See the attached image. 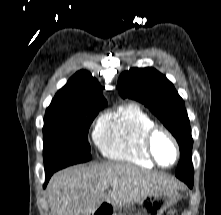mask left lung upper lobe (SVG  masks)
I'll use <instances>...</instances> for the list:
<instances>
[{"instance_id": "1", "label": "left lung upper lobe", "mask_w": 221, "mask_h": 215, "mask_svg": "<svg viewBox=\"0 0 221 215\" xmlns=\"http://www.w3.org/2000/svg\"><path fill=\"white\" fill-rule=\"evenodd\" d=\"M117 89L123 98H131L147 106L173 134L181 153L175 175L181 180L193 181L190 121L184 101L173 84L154 68H132L120 75Z\"/></svg>"}]
</instances>
